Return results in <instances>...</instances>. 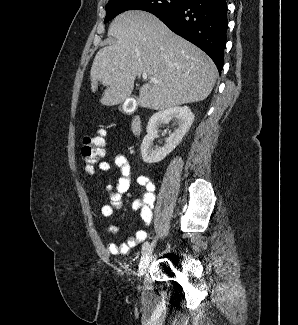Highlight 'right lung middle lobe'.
Wrapping results in <instances>:
<instances>
[{
    "label": "right lung middle lobe",
    "mask_w": 298,
    "mask_h": 325,
    "mask_svg": "<svg viewBox=\"0 0 298 325\" xmlns=\"http://www.w3.org/2000/svg\"><path fill=\"white\" fill-rule=\"evenodd\" d=\"M187 0H113L106 5L105 23L127 10H144L157 14L183 6Z\"/></svg>",
    "instance_id": "1"
}]
</instances>
